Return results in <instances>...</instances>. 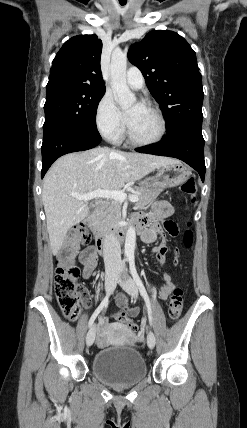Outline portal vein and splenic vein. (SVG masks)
Masks as SVG:
<instances>
[{
	"label": "portal vein and splenic vein",
	"mask_w": 247,
	"mask_h": 428,
	"mask_svg": "<svg viewBox=\"0 0 247 428\" xmlns=\"http://www.w3.org/2000/svg\"><path fill=\"white\" fill-rule=\"evenodd\" d=\"M73 197L78 200H85V201H89L96 197L110 198L119 202H124L127 198L131 202H137L139 200V197L137 195L127 196L126 193L120 190H103V189H97L95 191H92L83 195L73 194Z\"/></svg>",
	"instance_id": "1"
}]
</instances>
